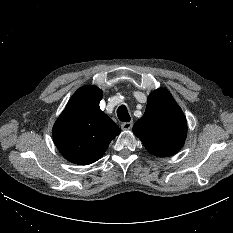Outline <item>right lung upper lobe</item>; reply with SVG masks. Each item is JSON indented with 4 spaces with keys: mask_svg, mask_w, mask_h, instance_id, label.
Instances as JSON below:
<instances>
[{
    "mask_svg": "<svg viewBox=\"0 0 233 233\" xmlns=\"http://www.w3.org/2000/svg\"><path fill=\"white\" fill-rule=\"evenodd\" d=\"M102 91L95 86L78 89L53 127L54 143L70 162L88 165L105 153L121 129L99 108Z\"/></svg>",
    "mask_w": 233,
    "mask_h": 233,
    "instance_id": "obj_1",
    "label": "right lung upper lobe"
}]
</instances>
